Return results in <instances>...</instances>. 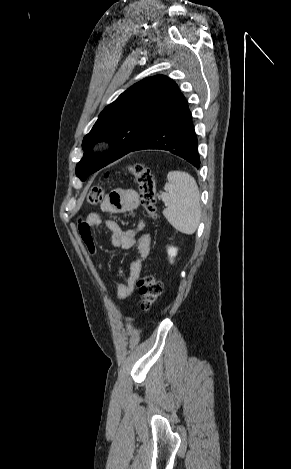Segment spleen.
Segmentation results:
<instances>
[{
  "label": "spleen",
  "mask_w": 291,
  "mask_h": 469,
  "mask_svg": "<svg viewBox=\"0 0 291 469\" xmlns=\"http://www.w3.org/2000/svg\"><path fill=\"white\" fill-rule=\"evenodd\" d=\"M161 194L167 206L163 215L178 231L191 235L198 228L201 216L200 193L195 179L187 172L171 171Z\"/></svg>",
  "instance_id": "obj_1"
}]
</instances>
